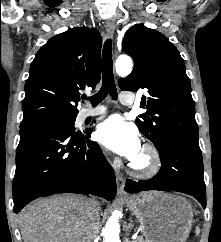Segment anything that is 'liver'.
Listing matches in <instances>:
<instances>
[{
	"label": "liver",
	"mask_w": 221,
	"mask_h": 242,
	"mask_svg": "<svg viewBox=\"0 0 221 242\" xmlns=\"http://www.w3.org/2000/svg\"><path fill=\"white\" fill-rule=\"evenodd\" d=\"M86 199L66 195L37 200L19 214L24 242H82Z\"/></svg>",
	"instance_id": "liver-1"
}]
</instances>
